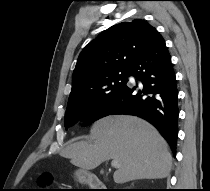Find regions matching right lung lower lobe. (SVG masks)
I'll return each mask as SVG.
<instances>
[{
	"instance_id": "1",
	"label": "right lung lower lobe",
	"mask_w": 210,
	"mask_h": 191,
	"mask_svg": "<svg viewBox=\"0 0 210 191\" xmlns=\"http://www.w3.org/2000/svg\"><path fill=\"white\" fill-rule=\"evenodd\" d=\"M141 81L138 90L126 84L107 103L99 118L110 114L139 116L153 124L175 153L178 135V90L171 57L161 35L155 37L129 68Z\"/></svg>"
}]
</instances>
